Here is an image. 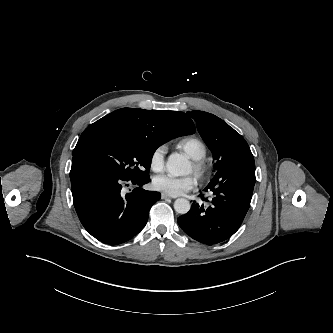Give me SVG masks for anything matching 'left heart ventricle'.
<instances>
[{"label":"left heart ventricle","instance_id":"1","mask_svg":"<svg viewBox=\"0 0 333 333\" xmlns=\"http://www.w3.org/2000/svg\"><path fill=\"white\" fill-rule=\"evenodd\" d=\"M193 171V168H192V165L190 166V169L188 170V172H192Z\"/></svg>","mask_w":333,"mask_h":333}]
</instances>
